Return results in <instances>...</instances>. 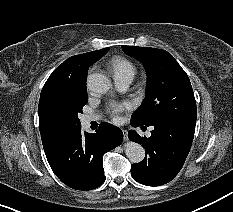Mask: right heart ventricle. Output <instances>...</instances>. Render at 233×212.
Returning a JSON list of instances; mask_svg holds the SVG:
<instances>
[{
	"instance_id": "right-heart-ventricle-1",
	"label": "right heart ventricle",
	"mask_w": 233,
	"mask_h": 212,
	"mask_svg": "<svg viewBox=\"0 0 233 212\" xmlns=\"http://www.w3.org/2000/svg\"><path fill=\"white\" fill-rule=\"evenodd\" d=\"M109 67L115 78L128 77L133 79L136 74L135 65L125 57H113L109 63Z\"/></svg>"
}]
</instances>
